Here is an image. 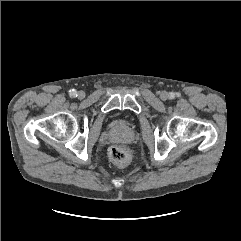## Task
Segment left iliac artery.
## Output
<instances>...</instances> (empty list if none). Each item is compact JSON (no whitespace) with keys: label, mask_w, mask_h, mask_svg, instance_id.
Masks as SVG:
<instances>
[{"label":"left iliac artery","mask_w":241,"mask_h":241,"mask_svg":"<svg viewBox=\"0 0 241 241\" xmlns=\"http://www.w3.org/2000/svg\"><path fill=\"white\" fill-rule=\"evenodd\" d=\"M175 95H176L175 93H170V95H169L170 99H174Z\"/></svg>","instance_id":"1"}]
</instances>
